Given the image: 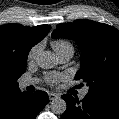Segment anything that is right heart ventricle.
<instances>
[{"label":"right heart ventricle","mask_w":119,"mask_h":119,"mask_svg":"<svg viewBox=\"0 0 119 119\" xmlns=\"http://www.w3.org/2000/svg\"><path fill=\"white\" fill-rule=\"evenodd\" d=\"M51 46L57 55L67 50L74 51L73 45L65 39H55L51 42Z\"/></svg>","instance_id":"e07e8e85"}]
</instances>
